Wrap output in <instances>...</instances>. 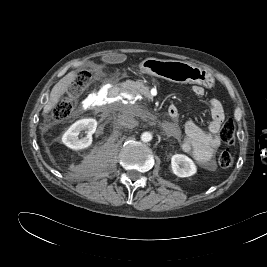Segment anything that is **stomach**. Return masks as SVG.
Masks as SVG:
<instances>
[{
    "label": "stomach",
    "instance_id": "stomach-1",
    "mask_svg": "<svg viewBox=\"0 0 267 267\" xmlns=\"http://www.w3.org/2000/svg\"><path fill=\"white\" fill-rule=\"evenodd\" d=\"M140 71L181 84H200L212 87L214 78L207 70L188 62L146 58L139 65Z\"/></svg>",
    "mask_w": 267,
    "mask_h": 267
}]
</instances>
